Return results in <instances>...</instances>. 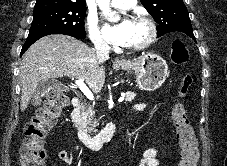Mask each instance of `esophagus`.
<instances>
[{
  "mask_svg": "<svg viewBox=\"0 0 227 166\" xmlns=\"http://www.w3.org/2000/svg\"><path fill=\"white\" fill-rule=\"evenodd\" d=\"M116 63H117V64H120V63H121V61L117 59V60H116Z\"/></svg>",
  "mask_w": 227,
  "mask_h": 166,
  "instance_id": "esophagus-1",
  "label": "esophagus"
}]
</instances>
